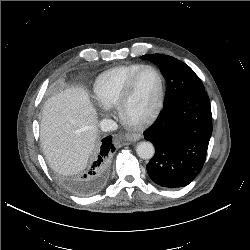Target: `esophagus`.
<instances>
[{
    "label": "esophagus",
    "mask_w": 250,
    "mask_h": 250,
    "mask_svg": "<svg viewBox=\"0 0 250 250\" xmlns=\"http://www.w3.org/2000/svg\"><path fill=\"white\" fill-rule=\"evenodd\" d=\"M141 138H142V135L139 133H129L126 135V139L130 142H135Z\"/></svg>",
    "instance_id": "1"
}]
</instances>
